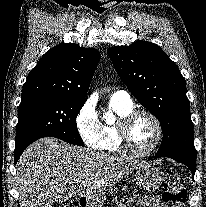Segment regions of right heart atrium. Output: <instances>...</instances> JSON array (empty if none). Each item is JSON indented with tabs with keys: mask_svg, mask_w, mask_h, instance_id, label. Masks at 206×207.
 Returning a JSON list of instances; mask_svg holds the SVG:
<instances>
[{
	"mask_svg": "<svg viewBox=\"0 0 206 207\" xmlns=\"http://www.w3.org/2000/svg\"><path fill=\"white\" fill-rule=\"evenodd\" d=\"M75 125L81 139L86 146L92 149L101 148V122L91 100H87L79 108L75 116Z\"/></svg>",
	"mask_w": 206,
	"mask_h": 207,
	"instance_id": "1",
	"label": "right heart atrium"
}]
</instances>
